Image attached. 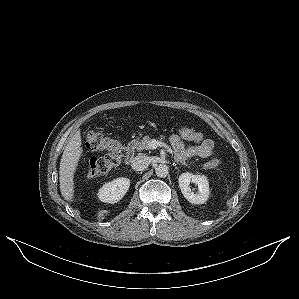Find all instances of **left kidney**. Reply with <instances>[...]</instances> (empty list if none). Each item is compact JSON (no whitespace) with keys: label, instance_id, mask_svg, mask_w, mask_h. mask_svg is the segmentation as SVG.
Wrapping results in <instances>:
<instances>
[{"label":"left kidney","instance_id":"left-kidney-1","mask_svg":"<svg viewBox=\"0 0 299 299\" xmlns=\"http://www.w3.org/2000/svg\"><path fill=\"white\" fill-rule=\"evenodd\" d=\"M190 182L198 186V192L194 193L190 188ZM179 187L183 196L192 204H203L209 197V182L204 175L182 173L179 176Z\"/></svg>","mask_w":299,"mask_h":299}]
</instances>
